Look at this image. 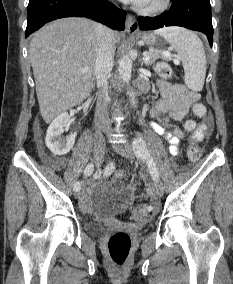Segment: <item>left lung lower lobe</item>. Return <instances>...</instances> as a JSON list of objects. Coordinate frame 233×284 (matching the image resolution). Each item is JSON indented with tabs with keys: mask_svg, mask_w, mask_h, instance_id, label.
I'll return each instance as SVG.
<instances>
[{
	"mask_svg": "<svg viewBox=\"0 0 233 284\" xmlns=\"http://www.w3.org/2000/svg\"><path fill=\"white\" fill-rule=\"evenodd\" d=\"M150 17H138L141 30H153L166 26H182L203 32L213 44V26L209 0H172L171 8L148 20Z\"/></svg>",
	"mask_w": 233,
	"mask_h": 284,
	"instance_id": "1",
	"label": "left lung lower lobe"
}]
</instances>
